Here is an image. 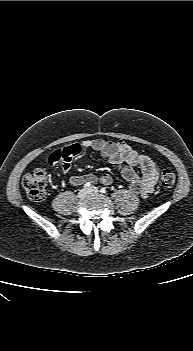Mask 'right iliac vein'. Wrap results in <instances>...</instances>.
I'll return each mask as SVG.
<instances>
[{"mask_svg": "<svg viewBox=\"0 0 193 351\" xmlns=\"http://www.w3.org/2000/svg\"><path fill=\"white\" fill-rule=\"evenodd\" d=\"M87 194H88V191L86 189H81L78 192V198L83 199L87 196Z\"/></svg>", "mask_w": 193, "mask_h": 351, "instance_id": "right-iliac-vein-1", "label": "right iliac vein"}]
</instances>
